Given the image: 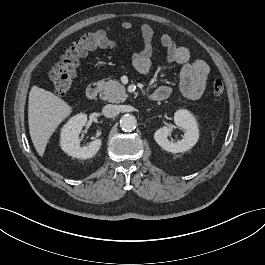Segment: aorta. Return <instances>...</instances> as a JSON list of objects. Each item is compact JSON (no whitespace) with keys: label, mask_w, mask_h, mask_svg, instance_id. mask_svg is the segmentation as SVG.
I'll return each mask as SVG.
<instances>
[{"label":"aorta","mask_w":265,"mask_h":265,"mask_svg":"<svg viewBox=\"0 0 265 265\" xmlns=\"http://www.w3.org/2000/svg\"><path fill=\"white\" fill-rule=\"evenodd\" d=\"M137 120L135 116L126 114L120 119V127L125 132H130L136 128Z\"/></svg>","instance_id":"aorta-1"}]
</instances>
